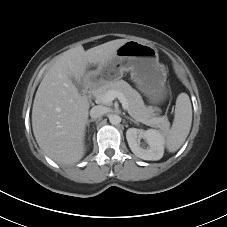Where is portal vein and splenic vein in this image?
Segmentation results:
<instances>
[{
  "instance_id": "18ae733b",
  "label": "portal vein and splenic vein",
  "mask_w": 227,
  "mask_h": 227,
  "mask_svg": "<svg viewBox=\"0 0 227 227\" xmlns=\"http://www.w3.org/2000/svg\"><path fill=\"white\" fill-rule=\"evenodd\" d=\"M115 98H118V100L121 102L124 110L128 109V102H127L126 98L124 97V95L120 92L110 90L101 97V100L104 104H108V103L112 102Z\"/></svg>"
}]
</instances>
